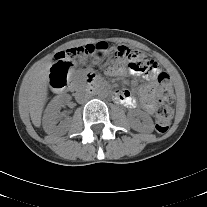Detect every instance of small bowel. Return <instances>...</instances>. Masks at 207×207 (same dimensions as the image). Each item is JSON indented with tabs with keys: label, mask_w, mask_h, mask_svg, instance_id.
I'll return each mask as SVG.
<instances>
[{
	"label": "small bowel",
	"mask_w": 207,
	"mask_h": 207,
	"mask_svg": "<svg viewBox=\"0 0 207 207\" xmlns=\"http://www.w3.org/2000/svg\"><path fill=\"white\" fill-rule=\"evenodd\" d=\"M127 72L132 74H141L138 70H130L124 67H111L108 69L107 73L110 76H124ZM150 78H153L149 76ZM156 95V84L154 82L149 83L148 85L140 89V102L144 110L148 113H152L154 109V100ZM113 98L115 101L123 104L128 108H134L137 106V100L131 95L127 90H116L114 91Z\"/></svg>",
	"instance_id": "small-bowel-1"
}]
</instances>
